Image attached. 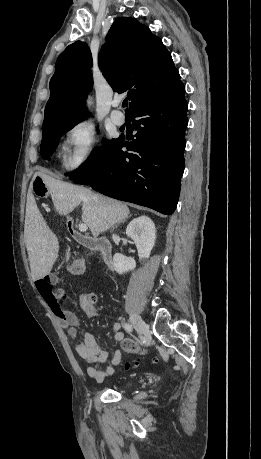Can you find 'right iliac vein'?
Returning <instances> with one entry per match:
<instances>
[{"instance_id":"1","label":"right iliac vein","mask_w":261,"mask_h":459,"mask_svg":"<svg viewBox=\"0 0 261 459\" xmlns=\"http://www.w3.org/2000/svg\"><path fill=\"white\" fill-rule=\"evenodd\" d=\"M130 320L140 335H144L148 331L147 324L137 314L131 313Z\"/></svg>"}]
</instances>
